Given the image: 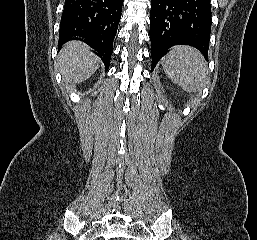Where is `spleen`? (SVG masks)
<instances>
[{
	"mask_svg": "<svg viewBox=\"0 0 257 240\" xmlns=\"http://www.w3.org/2000/svg\"><path fill=\"white\" fill-rule=\"evenodd\" d=\"M162 67L167 77L187 92L201 91L209 82L207 63L192 47L172 48L163 58Z\"/></svg>",
	"mask_w": 257,
	"mask_h": 240,
	"instance_id": "1",
	"label": "spleen"
}]
</instances>
